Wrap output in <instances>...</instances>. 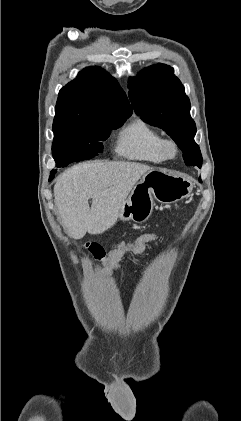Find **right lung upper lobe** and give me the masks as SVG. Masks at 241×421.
I'll use <instances>...</instances> for the list:
<instances>
[{
  "label": "right lung upper lobe",
  "mask_w": 241,
  "mask_h": 421,
  "mask_svg": "<svg viewBox=\"0 0 241 421\" xmlns=\"http://www.w3.org/2000/svg\"><path fill=\"white\" fill-rule=\"evenodd\" d=\"M55 118L92 121L102 117L128 118L132 114L125 92L100 67H89L64 86L58 96Z\"/></svg>",
  "instance_id": "1"
}]
</instances>
